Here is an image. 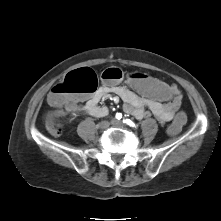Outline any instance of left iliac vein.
I'll list each match as a JSON object with an SVG mask.
<instances>
[{"instance_id":"obj_1","label":"left iliac vein","mask_w":221,"mask_h":221,"mask_svg":"<svg viewBox=\"0 0 221 221\" xmlns=\"http://www.w3.org/2000/svg\"><path fill=\"white\" fill-rule=\"evenodd\" d=\"M111 124L115 127H119V128H123L125 125H124V122L122 121H119V120H112L111 121Z\"/></svg>"}]
</instances>
